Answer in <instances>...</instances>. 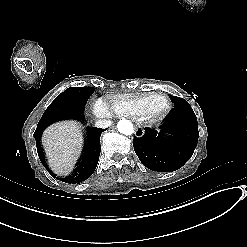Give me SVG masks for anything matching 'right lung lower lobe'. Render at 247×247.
I'll list each match as a JSON object with an SVG mask.
<instances>
[{"instance_id":"right-lung-lower-lobe-1","label":"right lung lower lobe","mask_w":247,"mask_h":247,"mask_svg":"<svg viewBox=\"0 0 247 247\" xmlns=\"http://www.w3.org/2000/svg\"><path fill=\"white\" fill-rule=\"evenodd\" d=\"M67 118H73L81 121L83 119V115L75 114L72 116H66L57 119L40 120L35 130L36 147L41 163L54 178L62 182L80 183L88 179L93 174L97 166L101 152L100 135L104 131V129L87 127V137H86L84 153L82 155L81 161L78 163L77 168L74 170V173L69 177H65V178L57 177L55 174L51 172L45 161L44 153L40 145V137L42 132L48 125H50L55 121L67 119Z\"/></svg>"}]
</instances>
